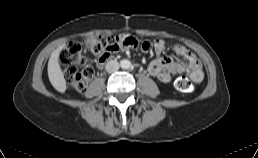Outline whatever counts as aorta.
<instances>
[{"label": "aorta", "instance_id": "762f6f07", "mask_svg": "<svg viewBox=\"0 0 258 158\" xmlns=\"http://www.w3.org/2000/svg\"><path fill=\"white\" fill-rule=\"evenodd\" d=\"M121 67L123 69H129L131 67V62L129 60L124 59L121 61Z\"/></svg>", "mask_w": 258, "mask_h": 158}]
</instances>
